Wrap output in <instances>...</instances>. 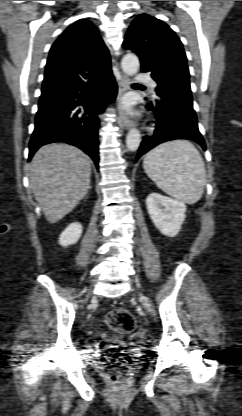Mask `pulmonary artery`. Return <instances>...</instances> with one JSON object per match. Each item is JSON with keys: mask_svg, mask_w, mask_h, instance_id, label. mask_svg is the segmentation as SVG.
Segmentation results:
<instances>
[{"mask_svg": "<svg viewBox=\"0 0 242 416\" xmlns=\"http://www.w3.org/2000/svg\"><path fill=\"white\" fill-rule=\"evenodd\" d=\"M136 80L141 83H148L152 88L156 86L155 82L147 74H138Z\"/></svg>", "mask_w": 242, "mask_h": 416, "instance_id": "obj_1", "label": "pulmonary artery"}]
</instances>
